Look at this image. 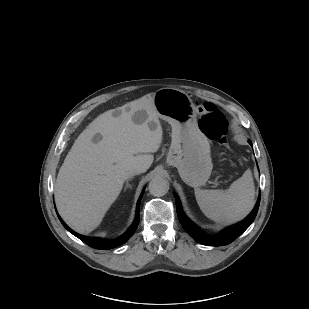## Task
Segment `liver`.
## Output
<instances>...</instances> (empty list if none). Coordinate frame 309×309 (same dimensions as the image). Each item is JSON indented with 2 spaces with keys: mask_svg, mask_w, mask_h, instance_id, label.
I'll list each match as a JSON object with an SVG mask.
<instances>
[{
  "mask_svg": "<svg viewBox=\"0 0 309 309\" xmlns=\"http://www.w3.org/2000/svg\"><path fill=\"white\" fill-rule=\"evenodd\" d=\"M154 93L99 115L78 136L61 166L55 199L63 219L77 232L97 228L119 196L125 173L136 166L146 172L158 151L163 130ZM146 119L133 121L138 111ZM100 135L101 139L94 138Z\"/></svg>",
  "mask_w": 309,
  "mask_h": 309,
  "instance_id": "1",
  "label": "liver"
}]
</instances>
